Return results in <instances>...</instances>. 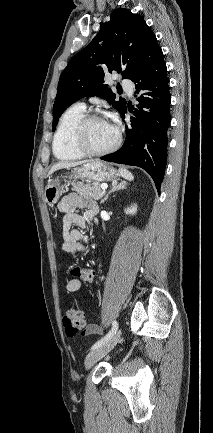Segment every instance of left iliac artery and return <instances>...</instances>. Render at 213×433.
I'll return each instance as SVG.
<instances>
[{"label":"left iliac artery","mask_w":213,"mask_h":433,"mask_svg":"<svg viewBox=\"0 0 213 433\" xmlns=\"http://www.w3.org/2000/svg\"><path fill=\"white\" fill-rule=\"evenodd\" d=\"M118 329V323L117 321H113L112 322V328L111 330L100 340H98L91 349H96L97 347L101 346L102 344H104L106 341H108L116 332Z\"/></svg>","instance_id":"obj_1"}]
</instances>
